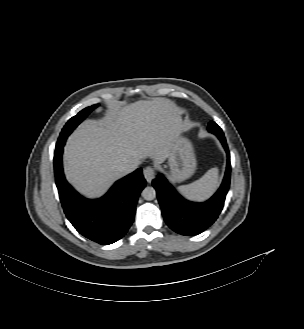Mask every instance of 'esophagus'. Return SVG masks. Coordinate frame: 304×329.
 Returning a JSON list of instances; mask_svg holds the SVG:
<instances>
[{
	"instance_id": "esophagus-1",
	"label": "esophagus",
	"mask_w": 304,
	"mask_h": 329,
	"mask_svg": "<svg viewBox=\"0 0 304 329\" xmlns=\"http://www.w3.org/2000/svg\"><path fill=\"white\" fill-rule=\"evenodd\" d=\"M143 175L146 181L151 183L155 177V170L151 166H148L143 170Z\"/></svg>"
}]
</instances>
